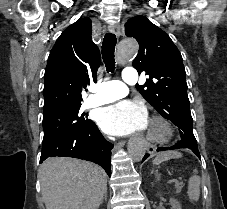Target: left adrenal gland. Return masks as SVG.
<instances>
[{
	"label": "left adrenal gland",
	"mask_w": 227,
	"mask_h": 209,
	"mask_svg": "<svg viewBox=\"0 0 227 209\" xmlns=\"http://www.w3.org/2000/svg\"><path fill=\"white\" fill-rule=\"evenodd\" d=\"M156 179H157V181H159V179H160V175H158V171H156Z\"/></svg>",
	"instance_id": "left-adrenal-gland-1"
}]
</instances>
